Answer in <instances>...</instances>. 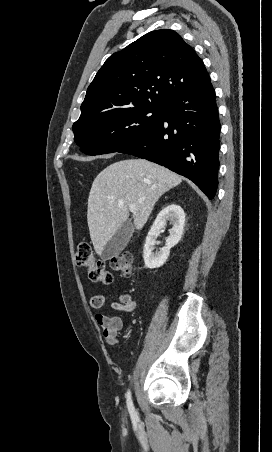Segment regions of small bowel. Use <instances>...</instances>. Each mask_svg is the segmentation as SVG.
Masks as SVG:
<instances>
[{"label":"small bowel","instance_id":"1","mask_svg":"<svg viewBox=\"0 0 272 452\" xmlns=\"http://www.w3.org/2000/svg\"><path fill=\"white\" fill-rule=\"evenodd\" d=\"M106 303V297L103 294H96L91 298L90 305L93 309H101ZM111 309L120 312H133L137 303L129 293H122L116 301L109 303ZM95 322L103 329L104 338L107 342L116 341L118 333L122 327V320L116 316H106L98 313L95 315Z\"/></svg>","mask_w":272,"mask_h":452}]
</instances>
